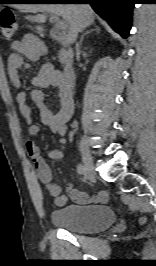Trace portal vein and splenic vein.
<instances>
[{
  "label": "portal vein and splenic vein",
  "mask_w": 156,
  "mask_h": 266,
  "mask_svg": "<svg viewBox=\"0 0 156 266\" xmlns=\"http://www.w3.org/2000/svg\"><path fill=\"white\" fill-rule=\"evenodd\" d=\"M51 20L55 22V25L58 29L64 31L67 29V23L63 20H60V18L56 15H51Z\"/></svg>",
  "instance_id": "1"
}]
</instances>
